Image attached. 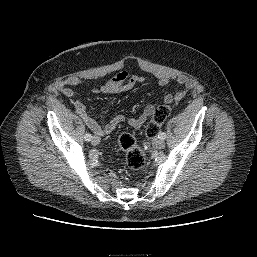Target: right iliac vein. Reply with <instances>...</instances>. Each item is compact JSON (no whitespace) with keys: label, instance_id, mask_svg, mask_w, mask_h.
Here are the masks:
<instances>
[{"label":"right iliac vein","instance_id":"1","mask_svg":"<svg viewBox=\"0 0 257 257\" xmlns=\"http://www.w3.org/2000/svg\"><path fill=\"white\" fill-rule=\"evenodd\" d=\"M91 143L93 145H98L100 143V138L97 137V136H93L92 139H91Z\"/></svg>","mask_w":257,"mask_h":257}]
</instances>
